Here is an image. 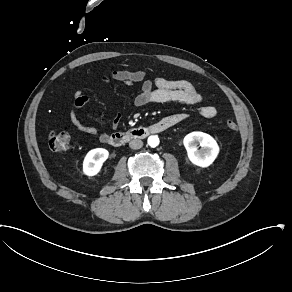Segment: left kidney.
<instances>
[{"label": "left kidney", "instance_id": "left-kidney-1", "mask_svg": "<svg viewBox=\"0 0 292 292\" xmlns=\"http://www.w3.org/2000/svg\"><path fill=\"white\" fill-rule=\"evenodd\" d=\"M198 144L202 147L199 150L196 148ZM183 145L189 161L199 168L211 166L220 153L217 141L204 132L195 131L187 134L183 139Z\"/></svg>", "mask_w": 292, "mask_h": 292}]
</instances>
